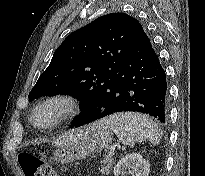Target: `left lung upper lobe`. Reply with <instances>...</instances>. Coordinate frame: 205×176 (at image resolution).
Here are the masks:
<instances>
[{
  "label": "left lung upper lobe",
  "mask_w": 205,
  "mask_h": 176,
  "mask_svg": "<svg viewBox=\"0 0 205 176\" xmlns=\"http://www.w3.org/2000/svg\"><path fill=\"white\" fill-rule=\"evenodd\" d=\"M145 36L137 19L125 13L101 16L72 32L54 52L46 70L29 93L40 96L68 94L82 100L81 114L96 102Z\"/></svg>",
  "instance_id": "obj_1"
}]
</instances>
